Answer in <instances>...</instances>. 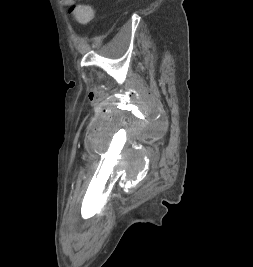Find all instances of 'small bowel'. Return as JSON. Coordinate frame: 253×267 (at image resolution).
Returning a JSON list of instances; mask_svg holds the SVG:
<instances>
[{"label":"small bowel","instance_id":"1","mask_svg":"<svg viewBox=\"0 0 253 267\" xmlns=\"http://www.w3.org/2000/svg\"><path fill=\"white\" fill-rule=\"evenodd\" d=\"M76 0H60L63 6L72 7L75 5Z\"/></svg>","mask_w":253,"mask_h":267}]
</instances>
